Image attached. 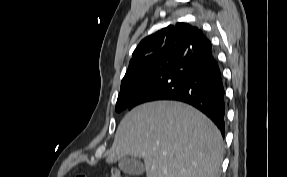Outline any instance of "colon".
Listing matches in <instances>:
<instances>
[{
  "instance_id": "obj_1",
  "label": "colon",
  "mask_w": 287,
  "mask_h": 177,
  "mask_svg": "<svg viewBox=\"0 0 287 177\" xmlns=\"http://www.w3.org/2000/svg\"><path fill=\"white\" fill-rule=\"evenodd\" d=\"M110 177H127L120 169L111 168L109 170ZM76 177H85L84 174H77Z\"/></svg>"
}]
</instances>
